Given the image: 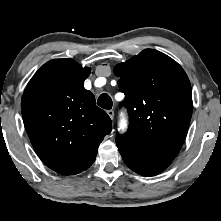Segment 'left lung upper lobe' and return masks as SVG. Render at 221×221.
Segmentation results:
<instances>
[{
  "label": "left lung upper lobe",
  "mask_w": 221,
  "mask_h": 221,
  "mask_svg": "<svg viewBox=\"0 0 221 221\" xmlns=\"http://www.w3.org/2000/svg\"><path fill=\"white\" fill-rule=\"evenodd\" d=\"M129 128L122 141L150 158L172 161L185 140L193 103L189 79L169 56L146 49L114 67Z\"/></svg>",
  "instance_id": "left-lung-upper-lobe-1"
}]
</instances>
